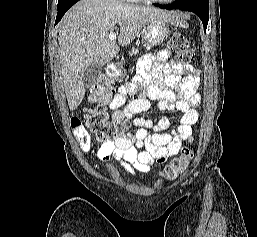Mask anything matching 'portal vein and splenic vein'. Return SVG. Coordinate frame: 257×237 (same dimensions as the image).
<instances>
[{
    "instance_id": "1",
    "label": "portal vein and splenic vein",
    "mask_w": 257,
    "mask_h": 237,
    "mask_svg": "<svg viewBox=\"0 0 257 237\" xmlns=\"http://www.w3.org/2000/svg\"><path fill=\"white\" fill-rule=\"evenodd\" d=\"M116 37H117L116 33H110L109 36H108V39L110 41H114V40H116Z\"/></svg>"
}]
</instances>
